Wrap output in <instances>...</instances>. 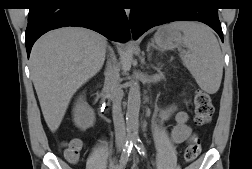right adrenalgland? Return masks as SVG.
<instances>
[{
	"label": "right adrenal gland",
	"instance_id": "1",
	"mask_svg": "<svg viewBox=\"0 0 252 169\" xmlns=\"http://www.w3.org/2000/svg\"><path fill=\"white\" fill-rule=\"evenodd\" d=\"M109 49H110L111 53H113V51H112V49L110 47H109Z\"/></svg>",
	"mask_w": 252,
	"mask_h": 169
}]
</instances>
